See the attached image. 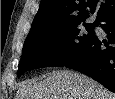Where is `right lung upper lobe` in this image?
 Returning a JSON list of instances; mask_svg holds the SVG:
<instances>
[{
	"instance_id": "cb5924a9",
	"label": "right lung upper lobe",
	"mask_w": 115,
	"mask_h": 99,
	"mask_svg": "<svg viewBox=\"0 0 115 99\" xmlns=\"http://www.w3.org/2000/svg\"><path fill=\"white\" fill-rule=\"evenodd\" d=\"M95 12L99 23L115 12V0H41L28 37L84 23Z\"/></svg>"
}]
</instances>
